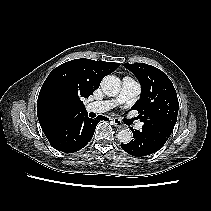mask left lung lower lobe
<instances>
[{"instance_id":"obj_1","label":"left lung lower lobe","mask_w":211,"mask_h":211,"mask_svg":"<svg viewBox=\"0 0 211 211\" xmlns=\"http://www.w3.org/2000/svg\"><path fill=\"white\" fill-rule=\"evenodd\" d=\"M133 137L128 144H121V148L132 156H147L160 150L166 141L147 131L133 130Z\"/></svg>"}]
</instances>
